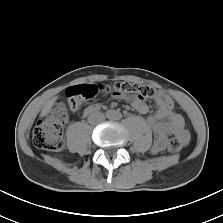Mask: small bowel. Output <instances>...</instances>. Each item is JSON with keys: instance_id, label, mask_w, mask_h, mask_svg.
Here are the masks:
<instances>
[{"instance_id": "c3829d8e", "label": "small bowel", "mask_w": 223, "mask_h": 223, "mask_svg": "<svg viewBox=\"0 0 223 223\" xmlns=\"http://www.w3.org/2000/svg\"><path fill=\"white\" fill-rule=\"evenodd\" d=\"M126 100L138 112L145 114L148 112V105L135 96H128ZM156 110L147 119V122L154 133L155 140L152 145V152L155 154L164 151L167 138L171 135L180 139L182 144H187L189 141L188 131L185 129L183 117L174 109L168 110L163 101L155 98ZM100 109L99 104L88 106L83 115L88 116Z\"/></svg>"}]
</instances>
